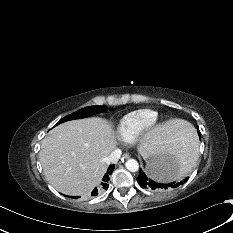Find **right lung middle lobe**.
<instances>
[{"label": "right lung middle lobe", "mask_w": 233, "mask_h": 233, "mask_svg": "<svg viewBox=\"0 0 233 233\" xmlns=\"http://www.w3.org/2000/svg\"><path fill=\"white\" fill-rule=\"evenodd\" d=\"M105 110H106V106H92V107L83 108L79 111H76L70 115L65 116L56 125L69 121V120L84 118V117H87V116H90L96 113L103 112Z\"/></svg>", "instance_id": "right-lung-middle-lobe-1"}]
</instances>
